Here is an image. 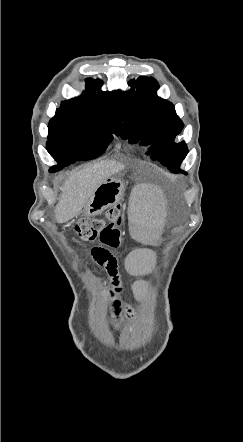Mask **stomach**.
<instances>
[{
    "instance_id": "0dacf381",
    "label": "stomach",
    "mask_w": 243,
    "mask_h": 442,
    "mask_svg": "<svg viewBox=\"0 0 243 442\" xmlns=\"http://www.w3.org/2000/svg\"><path fill=\"white\" fill-rule=\"evenodd\" d=\"M124 184L116 177H109L94 191L83 208V215L95 216L122 199Z\"/></svg>"
}]
</instances>
